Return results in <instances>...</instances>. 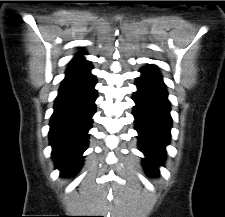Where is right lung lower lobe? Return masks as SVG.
Returning <instances> with one entry per match:
<instances>
[{
  "instance_id": "1",
  "label": "right lung lower lobe",
  "mask_w": 225,
  "mask_h": 217,
  "mask_svg": "<svg viewBox=\"0 0 225 217\" xmlns=\"http://www.w3.org/2000/svg\"><path fill=\"white\" fill-rule=\"evenodd\" d=\"M95 84L94 77L63 82L55 99L49 139L56 168L63 176L74 174L83 163L96 109Z\"/></svg>"
}]
</instances>
